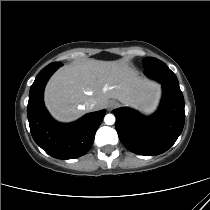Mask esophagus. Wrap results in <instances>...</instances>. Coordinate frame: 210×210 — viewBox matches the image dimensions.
I'll use <instances>...</instances> for the list:
<instances>
[{
  "label": "esophagus",
  "instance_id": "34e87169",
  "mask_svg": "<svg viewBox=\"0 0 210 210\" xmlns=\"http://www.w3.org/2000/svg\"><path fill=\"white\" fill-rule=\"evenodd\" d=\"M116 105H117V103L115 101H112L109 103L108 106H109V108H114V107H116Z\"/></svg>",
  "mask_w": 210,
  "mask_h": 210
}]
</instances>
